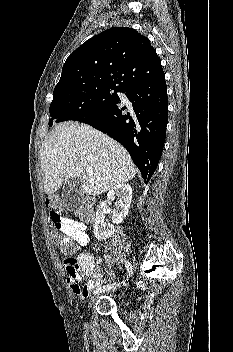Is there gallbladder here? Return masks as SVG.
<instances>
[{
	"label": "gallbladder",
	"mask_w": 233,
	"mask_h": 352,
	"mask_svg": "<svg viewBox=\"0 0 233 352\" xmlns=\"http://www.w3.org/2000/svg\"><path fill=\"white\" fill-rule=\"evenodd\" d=\"M82 182L79 178L66 181L62 188V203L64 207L71 211L76 209L82 199Z\"/></svg>",
	"instance_id": "obj_1"
}]
</instances>
